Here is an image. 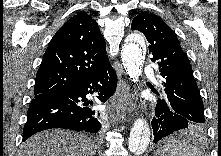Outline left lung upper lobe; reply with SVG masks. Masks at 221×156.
Wrapping results in <instances>:
<instances>
[{
  "label": "left lung upper lobe",
  "instance_id": "obj_1",
  "mask_svg": "<svg viewBox=\"0 0 221 156\" xmlns=\"http://www.w3.org/2000/svg\"><path fill=\"white\" fill-rule=\"evenodd\" d=\"M149 42L151 61L159 66L170 108L196 125L204 123V107L187 54L175 32L158 16L143 12L132 21Z\"/></svg>",
  "mask_w": 221,
  "mask_h": 156
}]
</instances>
